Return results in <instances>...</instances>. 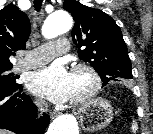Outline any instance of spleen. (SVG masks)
<instances>
[{
	"instance_id": "spleen-1",
	"label": "spleen",
	"mask_w": 153,
	"mask_h": 134,
	"mask_svg": "<svg viewBox=\"0 0 153 134\" xmlns=\"http://www.w3.org/2000/svg\"><path fill=\"white\" fill-rule=\"evenodd\" d=\"M131 129H132V132H133V133H136V131H137V129H138V126H137V124H136L135 122L132 123Z\"/></svg>"
}]
</instances>
